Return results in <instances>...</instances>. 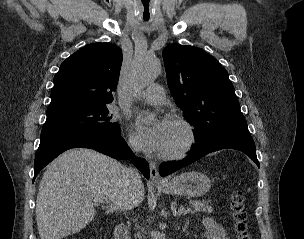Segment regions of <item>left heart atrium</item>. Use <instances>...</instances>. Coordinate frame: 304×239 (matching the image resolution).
<instances>
[{
	"label": "left heart atrium",
	"mask_w": 304,
	"mask_h": 239,
	"mask_svg": "<svg viewBox=\"0 0 304 239\" xmlns=\"http://www.w3.org/2000/svg\"><path fill=\"white\" fill-rule=\"evenodd\" d=\"M135 140L145 150L151 152H162L167 137L172 127L169 120H161L154 124H148L142 118L135 122Z\"/></svg>",
	"instance_id": "obj_1"
}]
</instances>
